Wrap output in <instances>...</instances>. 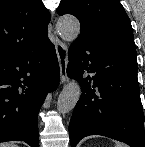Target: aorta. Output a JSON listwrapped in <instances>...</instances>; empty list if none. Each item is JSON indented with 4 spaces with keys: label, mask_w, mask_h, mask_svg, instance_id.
<instances>
[{
    "label": "aorta",
    "mask_w": 145,
    "mask_h": 147,
    "mask_svg": "<svg viewBox=\"0 0 145 147\" xmlns=\"http://www.w3.org/2000/svg\"><path fill=\"white\" fill-rule=\"evenodd\" d=\"M57 30L60 37L66 42H73L80 34V23L77 18L65 15L59 18ZM81 95V89L76 81L67 83L60 93L57 109L61 113H68L75 108Z\"/></svg>",
    "instance_id": "aorta-1"
}]
</instances>
